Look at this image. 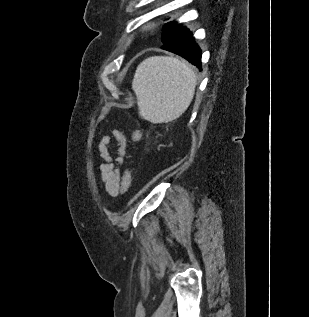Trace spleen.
I'll return each mask as SVG.
<instances>
[{"label":"spleen","mask_w":309,"mask_h":317,"mask_svg":"<svg viewBox=\"0 0 309 317\" xmlns=\"http://www.w3.org/2000/svg\"><path fill=\"white\" fill-rule=\"evenodd\" d=\"M196 84V74L185 61L167 56L145 59L132 82L139 115L154 124L179 118L189 107Z\"/></svg>","instance_id":"obj_1"}]
</instances>
